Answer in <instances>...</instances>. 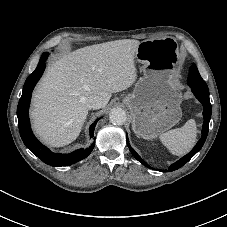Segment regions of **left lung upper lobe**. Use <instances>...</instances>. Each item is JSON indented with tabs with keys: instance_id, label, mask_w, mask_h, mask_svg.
Wrapping results in <instances>:
<instances>
[{
	"instance_id": "5c2ea615",
	"label": "left lung upper lobe",
	"mask_w": 227,
	"mask_h": 227,
	"mask_svg": "<svg viewBox=\"0 0 227 227\" xmlns=\"http://www.w3.org/2000/svg\"><path fill=\"white\" fill-rule=\"evenodd\" d=\"M188 85L190 87L197 86L200 89H203L204 92H208V87L205 81L201 78L198 69L195 64L190 67V74L188 77Z\"/></svg>"
}]
</instances>
